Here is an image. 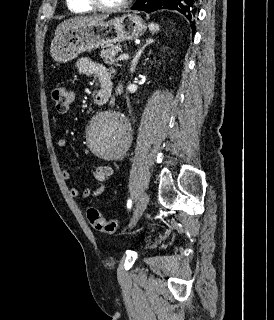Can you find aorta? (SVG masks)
<instances>
[{
	"mask_svg": "<svg viewBox=\"0 0 274 320\" xmlns=\"http://www.w3.org/2000/svg\"><path fill=\"white\" fill-rule=\"evenodd\" d=\"M130 131L131 125L124 115L117 111H104L90 122L86 143L96 156L114 160L127 149L131 139Z\"/></svg>",
	"mask_w": 274,
	"mask_h": 320,
	"instance_id": "aorta-1",
	"label": "aorta"
}]
</instances>
